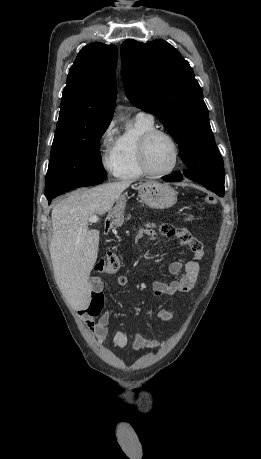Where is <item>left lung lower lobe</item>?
<instances>
[{"label":"left lung lower lobe","instance_id":"1","mask_svg":"<svg viewBox=\"0 0 261 459\" xmlns=\"http://www.w3.org/2000/svg\"><path fill=\"white\" fill-rule=\"evenodd\" d=\"M195 182L201 183L207 189L215 192L218 196H224V176L217 174H205L201 176H196L190 178ZM165 181L168 182H177L182 180V175L179 172H176L174 175H168L164 177Z\"/></svg>","mask_w":261,"mask_h":459}]
</instances>
